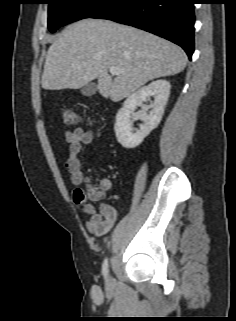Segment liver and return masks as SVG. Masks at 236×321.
Here are the masks:
<instances>
[{
	"instance_id": "liver-1",
	"label": "liver",
	"mask_w": 236,
	"mask_h": 321,
	"mask_svg": "<svg viewBox=\"0 0 236 321\" xmlns=\"http://www.w3.org/2000/svg\"><path fill=\"white\" fill-rule=\"evenodd\" d=\"M187 58L170 41L103 19L66 27L49 47L41 85L45 90L79 89L98 79L99 93L120 101L148 81L184 70ZM110 67L123 70L113 79Z\"/></svg>"
}]
</instances>
